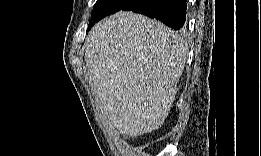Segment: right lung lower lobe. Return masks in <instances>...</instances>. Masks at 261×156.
I'll return each mask as SVG.
<instances>
[{
    "label": "right lung lower lobe",
    "mask_w": 261,
    "mask_h": 156,
    "mask_svg": "<svg viewBox=\"0 0 261 156\" xmlns=\"http://www.w3.org/2000/svg\"><path fill=\"white\" fill-rule=\"evenodd\" d=\"M121 10L156 18L174 30L183 28L186 20V0H131Z\"/></svg>",
    "instance_id": "right-lung-lower-lobe-1"
}]
</instances>
